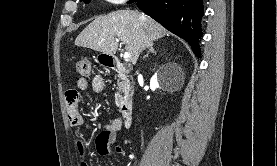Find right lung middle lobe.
Instances as JSON below:
<instances>
[{
	"instance_id": "dd1d6c3e",
	"label": "right lung middle lobe",
	"mask_w": 277,
	"mask_h": 166,
	"mask_svg": "<svg viewBox=\"0 0 277 166\" xmlns=\"http://www.w3.org/2000/svg\"><path fill=\"white\" fill-rule=\"evenodd\" d=\"M81 1H84L85 3H89L90 2V0H81Z\"/></svg>"
}]
</instances>
